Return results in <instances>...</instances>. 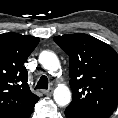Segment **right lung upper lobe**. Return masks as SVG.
Listing matches in <instances>:
<instances>
[{
    "mask_svg": "<svg viewBox=\"0 0 118 118\" xmlns=\"http://www.w3.org/2000/svg\"><path fill=\"white\" fill-rule=\"evenodd\" d=\"M39 38L0 35V118H29L39 97L30 91L24 66Z\"/></svg>",
    "mask_w": 118,
    "mask_h": 118,
    "instance_id": "right-lung-upper-lobe-1",
    "label": "right lung upper lobe"
}]
</instances>
